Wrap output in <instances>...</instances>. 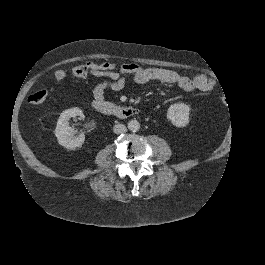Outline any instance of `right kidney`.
Returning <instances> with one entry per match:
<instances>
[{"mask_svg": "<svg viewBox=\"0 0 265 265\" xmlns=\"http://www.w3.org/2000/svg\"><path fill=\"white\" fill-rule=\"evenodd\" d=\"M83 117L82 111L78 108H72L64 111L55 129V136L58 143L66 150L73 151L81 148L85 142L84 134H80L77 138L72 135V128L69 126V121L72 117Z\"/></svg>", "mask_w": 265, "mask_h": 265, "instance_id": "right-kidney-1", "label": "right kidney"}]
</instances>
